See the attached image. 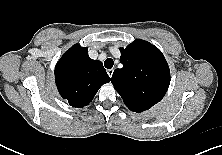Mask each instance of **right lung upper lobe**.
I'll return each mask as SVG.
<instances>
[{"label": "right lung upper lobe", "mask_w": 222, "mask_h": 155, "mask_svg": "<svg viewBox=\"0 0 222 155\" xmlns=\"http://www.w3.org/2000/svg\"><path fill=\"white\" fill-rule=\"evenodd\" d=\"M87 50L79 44L73 45L55 67L58 91L72 107L88 105L98 89L111 80L102 62L89 58Z\"/></svg>", "instance_id": "cb5924a9"}]
</instances>
